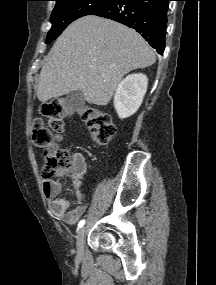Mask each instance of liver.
Segmentation results:
<instances>
[{
  "mask_svg": "<svg viewBox=\"0 0 216 285\" xmlns=\"http://www.w3.org/2000/svg\"><path fill=\"white\" fill-rule=\"evenodd\" d=\"M155 61V53L135 30L85 16L71 23L53 45L40 72L37 97L45 103L81 90L88 103L104 106L124 75Z\"/></svg>",
  "mask_w": 216,
  "mask_h": 285,
  "instance_id": "liver-1",
  "label": "liver"
}]
</instances>
